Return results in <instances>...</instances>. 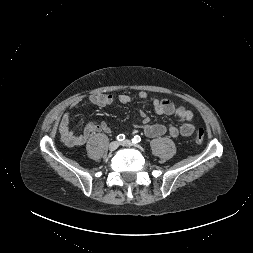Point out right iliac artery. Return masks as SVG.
Instances as JSON below:
<instances>
[{
    "mask_svg": "<svg viewBox=\"0 0 253 253\" xmlns=\"http://www.w3.org/2000/svg\"><path fill=\"white\" fill-rule=\"evenodd\" d=\"M125 139V135L124 134H119L118 136H117V140L118 141H123Z\"/></svg>",
    "mask_w": 253,
    "mask_h": 253,
    "instance_id": "82829eb1",
    "label": "right iliac artery"
}]
</instances>
